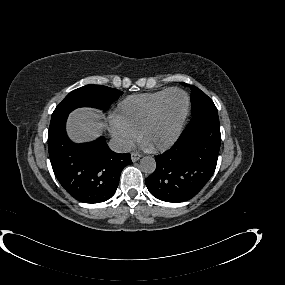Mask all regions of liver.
Masks as SVG:
<instances>
[{
    "label": "liver",
    "instance_id": "6515ba94",
    "mask_svg": "<svg viewBox=\"0 0 285 285\" xmlns=\"http://www.w3.org/2000/svg\"><path fill=\"white\" fill-rule=\"evenodd\" d=\"M102 115L91 108H80L72 112L68 118L67 131L75 142L90 141L98 137L103 128L100 122Z\"/></svg>",
    "mask_w": 285,
    "mask_h": 285
}]
</instances>
